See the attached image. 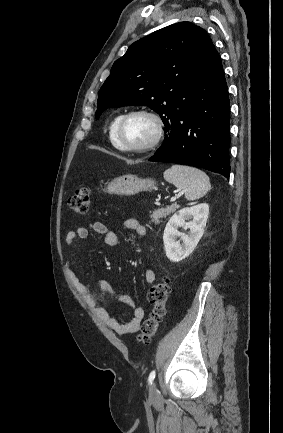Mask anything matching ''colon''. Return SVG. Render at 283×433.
<instances>
[{
    "label": "colon",
    "instance_id": "5ec220e1",
    "mask_svg": "<svg viewBox=\"0 0 283 433\" xmlns=\"http://www.w3.org/2000/svg\"><path fill=\"white\" fill-rule=\"evenodd\" d=\"M69 207L79 215H85L90 209V191L87 187H78L68 201ZM171 292L170 281L166 278L156 283L148 292V301L152 306L149 316L141 323L138 336L142 343H149L166 314V305Z\"/></svg>",
    "mask_w": 283,
    "mask_h": 433
}]
</instances>
